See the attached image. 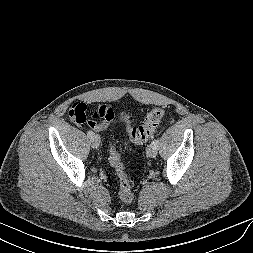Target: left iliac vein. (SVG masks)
I'll return each mask as SVG.
<instances>
[{
	"instance_id": "4c4485c4",
	"label": "left iliac vein",
	"mask_w": 253,
	"mask_h": 253,
	"mask_svg": "<svg viewBox=\"0 0 253 253\" xmlns=\"http://www.w3.org/2000/svg\"><path fill=\"white\" fill-rule=\"evenodd\" d=\"M146 154L148 157L150 158H154L157 155V149L155 147H153L152 145H150L147 149H146Z\"/></svg>"
}]
</instances>
